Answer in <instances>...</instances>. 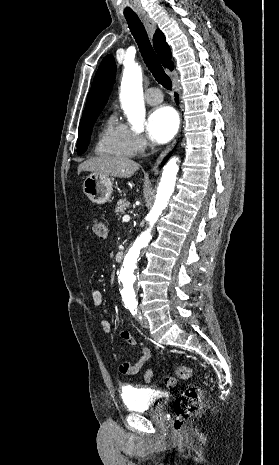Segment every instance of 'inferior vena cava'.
Instances as JSON below:
<instances>
[{
	"mask_svg": "<svg viewBox=\"0 0 279 465\" xmlns=\"http://www.w3.org/2000/svg\"><path fill=\"white\" fill-rule=\"evenodd\" d=\"M151 149H152V150L154 149V146H153V145H151Z\"/></svg>",
	"mask_w": 279,
	"mask_h": 465,
	"instance_id": "obj_1",
	"label": "inferior vena cava"
}]
</instances>
